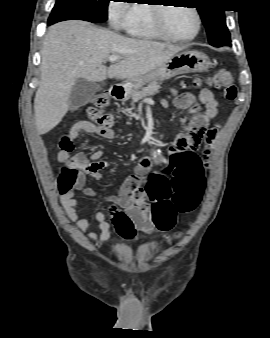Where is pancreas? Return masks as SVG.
<instances>
[{
  "mask_svg": "<svg viewBox=\"0 0 270 338\" xmlns=\"http://www.w3.org/2000/svg\"><path fill=\"white\" fill-rule=\"evenodd\" d=\"M159 88H160L159 83L157 81H153L150 82L147 87L133 91L129 95V98H131L132 102L135 103L141 100L142 98H146L154 95L155 93H158Z\"/></svg>",
  "mask_w": 270,
  "mask_h": 338,
  "instance_id": "cf45deb5",
  "label": "pancreas"
}]
</instances>
